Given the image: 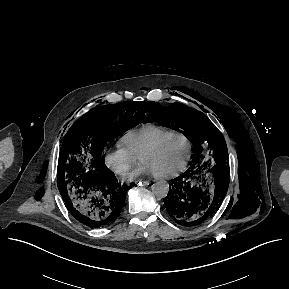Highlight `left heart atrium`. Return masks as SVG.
Segmentation results:
<instances>
[{"mask_svg": "<svg viewBox=\"0 0 289 289\" xmlns=\"http://www.w3.org/2000/svg\"><path fill=\"white\" fill-rule=\"evenodd\" d=\"M154 173L152 169L144 162H142L134 171L129 175L130 179L137 178L140 175Z\"/></svg>", "mask_w": 289, "mask_h": 289, "instance_id": "obj_1", "label": "left heart atrium"}]
</instances>
